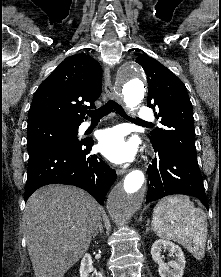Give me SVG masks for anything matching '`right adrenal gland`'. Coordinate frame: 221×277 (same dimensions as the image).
Returning <instances> with one entry per match:
<instances>
[{
  "label": "right adrenal gland",
  "instance_id": "2a0ac1e0",
  "mask_svg": "<svg viewBox=\"0 0 221 277\" xmlns=\"http://www.w3.org/2000/svg\"><path fill=\"white\" fill-rule=\"evenodd\" d=\"M103 233V225H102V221L99 224L98 230L95 232V234L93 235V238H95L98 234Z\"/></svg>",
  "mask_w": 221,
  "mask_h": 277
}]
</instances>
